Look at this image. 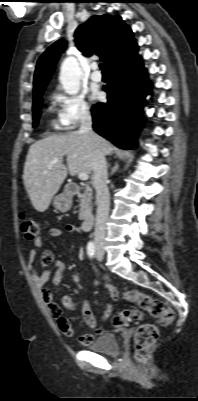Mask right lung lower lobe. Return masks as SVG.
<instances>
[{"label":"right lung lower lobe","mask_w":198,"mask_h":401,"mask_svg":"<svg viewBox=\"0 0 198 401\" xmlns=\"http://www.w3.org/2000/svg\"><path fill=\"white\" fill-rule=\"evenodd\" d=\"M108 73L110 82L104 87L108 101L91 109L93 129L119 148L131 149L151 87L137 46L112 64Z\"/></svg>","instance_id":"obj_1"}]
</instances>
